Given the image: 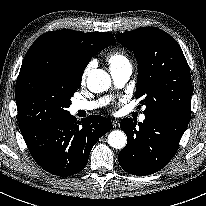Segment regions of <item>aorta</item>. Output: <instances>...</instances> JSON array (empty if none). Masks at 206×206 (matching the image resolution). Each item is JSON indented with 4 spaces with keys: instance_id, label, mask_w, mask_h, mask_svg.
<instances>
[{
    "instance_id": "1",
    "label": "aorta",
    "mask_w": 206,
    "mask_h": 206,
    "mask_svg": "<svg viewBox=\"0 0 206 206\" xmlns=\"http://www.w3.org/2000/svg\"><path fill=\"white\" fill-rule=\"evenodd\" d=\"M111 85L109 74L102 69H93L87 76V87L93 93L106 91ZM127 143V137L121 130H114L108 135V144L115 149H122Z\"/></svg>"
}]
</instances>
